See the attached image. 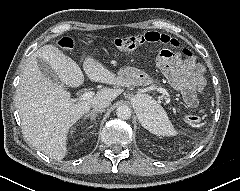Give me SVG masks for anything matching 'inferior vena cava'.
Here are the masks:
<instances>
[{"label":"inferior vena cava","instance_id":"602c4592","mask_svg":"<svg viewBox=\"0 0 240 191\" xmlns=\"http://www.w3.org/2000/svg\"><path fill=\"white\" fill-rule=\"evenodd\" d=\"M110 105V101L108 100H96L93 102L92 107L95 111H103L104 108Z\"/></svg>","mask_w":240,"mask_h":191}]
</instances>
